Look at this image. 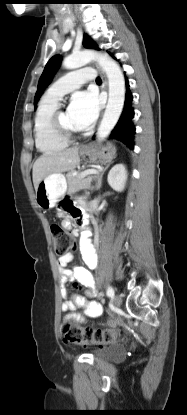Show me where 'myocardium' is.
Instances as JSON below:
<instances>
[{
    "instance_id": "1",
    "label": "myocardium",
    "mask_w": 187,
    "mask_h": 415,
    "mask_svg": "<svg viewBox=\"0 0 187 415\" xmlns=\"http://www.w3.org/2000/svg\"><path fill=\"white\" fill-rule=\"evenodd\" d=\"M63 112L61 108L56 109L53 113L51 125L54 133L61 139L72 142L81 135L80 131H72L64 127L60 120V115Z\"/></svg>"
}]
</instances>
